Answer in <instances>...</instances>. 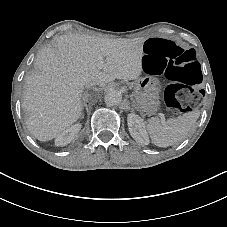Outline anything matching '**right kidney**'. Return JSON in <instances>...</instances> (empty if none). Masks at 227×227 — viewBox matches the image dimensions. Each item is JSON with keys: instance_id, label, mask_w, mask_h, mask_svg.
Masks as SVG:
<instances>
[{"instance_id": "obj_1", "label": "right kidney", "mask_w": 227, "mask_h": 227, "mask_svg": "<svg viewBox=\"0 0 227 227\" xmlns=\"http://www.w3.org/2000/svg\"><path fill=\"white\" fill-rule=\"evenodd\" d=\"M81 130V124H75L61 132L55 139V146H66L74 140L75 136Z\"/></svg>"}]
</instances>
